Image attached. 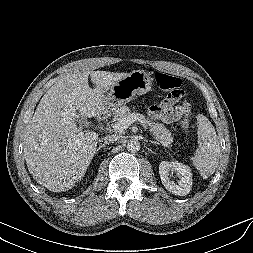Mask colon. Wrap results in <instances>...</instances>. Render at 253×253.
I'll return each instance as SVG.
<instances>
[{
	"label": "colon",
	"mask_w": 253,
	"mask_h": 253,
	"mask_svg": "<svg viewBox=\"0 0 253 253\" xmlns=\"http://www.w3.org/2000/svg\"><path fill=\"white\" fill-rule=\"evenodd\" d=\"M155 79L157 85L161 89L170 92L169 96L174 98H181L183 96L182 82L178 77L167 74L165 72H158L156 74ZM182 107L184 109V117H185L183 124L186 128H188L189 127L188 113L190 110V106L188 102L184 101Z\"/></svg>",
	"instance_id": "5ec220e1"
}]
</instances>
